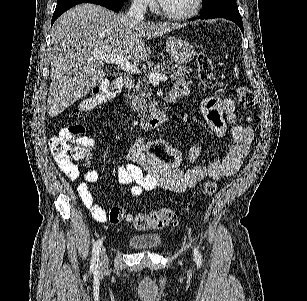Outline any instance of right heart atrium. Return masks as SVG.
Listing matches in <instances>:
<instances>
[{
    "label": "right heart atrium",
    "instance_id": "1",
    "mask_svg": "<svg viewBox=\"0 0 307 301\" xmlns=\"http://www.w3.org/2000/svg\"><path fill=\"white\" fill-rule=\"evenodd\" d=\"M153 2L152 0H138L137 6L138 7H152Z\"/></svg>",
    "mask_w": 307,
    "mask_h": 301
}]
</instances>
